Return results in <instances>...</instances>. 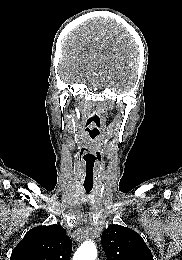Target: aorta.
I'll return each instance as SVG.
<instances>
[{
    "instance_id": "obj_1",
    "label": "aorta",
    "mask_w": 182,
    "mask_h": 260,
    "mask_svg": "<svg viewBox=\"0 0 182 260\" xmlns=\"http://www.w3.org/2000/svg\"><path fill=\"white\" fill-rule=\"evenodd\" d=\"M97 248L94 242L85 241L75 252L73 260H96Z\"/></svg>"
}]
</instances>
